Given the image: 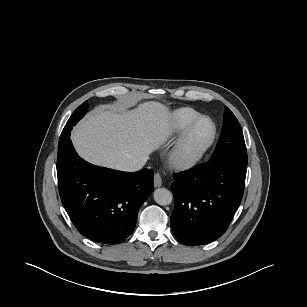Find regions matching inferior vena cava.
<instances>
[{"label":"inferior vena cava","mask_w":307,"mask_h":307,"mask_svg":"<svg viewBox=\"0 0 307 307\" xmlns=\"http://www.w3.org/2000/svg\"><path fill=\"white\" fill-rule=\"evenodd\" d=\"M146 163V159H141L139 161H134L131 163H128L124 166L118 167L119 170L121 171H127V172H134L140 170Z\"/></svg>","instance_id":"inferior-vena-cava-1"}]
</instances>
